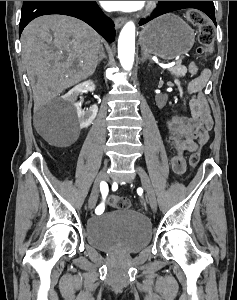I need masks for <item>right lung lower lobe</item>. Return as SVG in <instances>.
<instances>
[{
    "instance_id": "98d812e1",
    "label": "right lung lower lobe",
    "mask_w": 237,
    "mask_h": 300,
    "mask_svg": "<svg viewBox=\"0 0 237 300\" xmlns=\"http://www.w3.org/2000/svg\"><path fill=\"white\" fill-rule=\"evenodd\" d=\"M47 14L76 17L93 27L108 42L115 39L113 21L103 14L95 1H26L22 6L19 34L31 20Z\"/></svg>"
}]
</instances>
